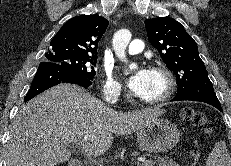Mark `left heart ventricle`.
Wrapping results in <instances>:
<instances>
[{"instance_id":"left-heart-ventricle-1","label":"left heart ventricle","mask_w":231,"mask_h":166,"mask_svg":"<svg viewBox=\"0 0 231 166\" xmlns=\"http://www.w3.org/2000/svg\"><path fill=\"white\" fill-rule=\"evenodd\" d=\"M164 87H165V82L163 77L160 74L151 71L147 89L144 92V94L141 95L140 97L144 99L156 98L162 93Z\"/></svg>"}]
</instances>
